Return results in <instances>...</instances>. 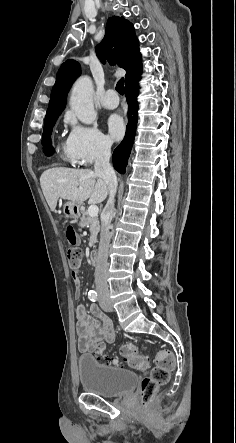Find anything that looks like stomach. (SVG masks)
Listing matches in <instances>:
<instances>
[{
	"instance_id": "0dacf381",
	"label": "stomach",
	"mask_w": 236,
	"mask_h": 443,
	"mask_svg": "<svg viewBox=\"0 0 236 443\" xmlns=\"http://www.w3.org/2000/svg\"><path fill=\"white\" fill-rule=\"evenodd\" d=\"M81 209L82 204L69 201L64 204L63 213L68 218L77 219L80 216Z\"/></svg>"
}]
</instances>
